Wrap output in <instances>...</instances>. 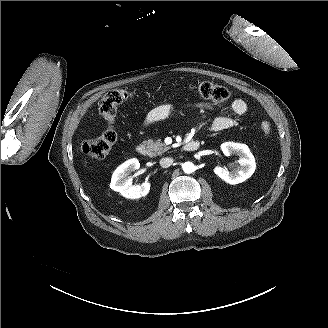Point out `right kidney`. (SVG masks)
Here are the masks:
<instances>
[{
    "label": "right kidney",
    "mask_w": 328,
    "mask_h": 328,
    "mask_svg": "<svg viewBox=\"0 0 328 328\" xmlns=\"http://www.w3.org/2000/svg\"><path fill=\"white\" fill-rule=\"evenodd\" d=\"M140 163L138 159H130L121 164L113 173L111 181V189L119 192L127 199H138L145 197L151 188V182L146 181L142 185H134L131 173L139 169Z\"/></svg>",
    "instance_id": "1"
}]
</instances>
